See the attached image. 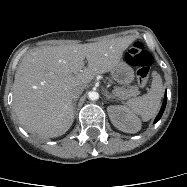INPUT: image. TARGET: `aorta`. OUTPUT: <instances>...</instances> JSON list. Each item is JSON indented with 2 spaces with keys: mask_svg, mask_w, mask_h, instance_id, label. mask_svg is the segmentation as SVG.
<instances>
[{
  "mask_svg": "<svg viewBox=\"0 0 187 187\" xmlns=\"http://www.w3.org/2000/svg\"><path fill=\"white\" fill-rule=\"evenodd\" d=\"M88 97L90 100H97V99H99V93L96 91H90L88 93Z\"/></svg>",
  "mask_w": 187,
  "mask_h": 187,
  "instance_id": "aorta-1",
  "label": "aorta"
}]
</instances>
